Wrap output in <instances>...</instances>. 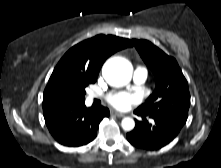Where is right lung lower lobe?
<instances>
[{"mask_svg":"<svg viewBox=\"0 0 221 168\" xmlns=\"http://www.w3.org/2000/svg\"><path fill=\"white\" fill-rule=\"evenodd\" d=\"M46 125L52 136L65 146H82L97 135L99 123L109 116L103 106L86 108L84 102L56 101L43 104Z\"/></svg>","mask_w":221,"mask_h":168,"instance_id":"right-lung-lower-lobe-1","label":"right lung lower lobe"}]
</instances>
